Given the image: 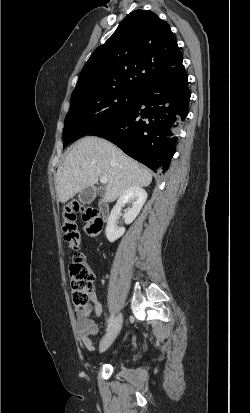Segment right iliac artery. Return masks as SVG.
Returning a JSON list of instances; mask_svg holds the SVG:
<instances>
[{"label": "right iliac artery", "instance_id": "1", "mask_svg": "<svg viewBox=\"0 0 250 413\" xmlns=\"http://www.w3.org/2000/svg\"><path fill=\"white\" fill-rule=\"evenodd\" d=\"M113 321H114V315L112 314L108 319L107 331H109V329L112 327Z\"/></svg>", "mask_w": 250, "mask_h": 413}]
</instances>
